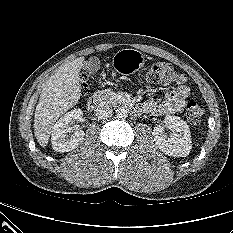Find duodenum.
Masks as SVG:
<instances>
[{
	"label": "duodenum",
	"instance_id": "obj_1",
	"mask_svg": "<svg viewBox=\"0 0 233 233\" xmlns=\"http://www.w3.org/2000/svg\"><path fill=\"white\" fill-rule=\"evenodd\" d=\"M98 105L99 99L97 96L93 95L88 99L86 107L88 111H93L98 107ZM127 105L134 113H138L140 111V108L135 104L128 102Z\"/></svg>",
	"mask_w": 233,
	"mask_h": 233
}]
</instances>
